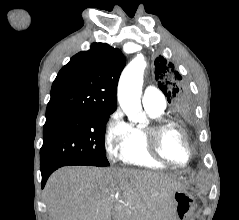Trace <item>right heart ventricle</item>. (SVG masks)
<instances>
[{
  "instance_id": "1",
  "label": "right heart ventricle",
  "mask_w": 239,
  "mask_h": 220,
  "mask_svg": "<svg viewBox=\"0 0 239 220\" xmlns=\"http://www.w3.org/2000/svg\"><path fill=\"white\" fill-rule=\"evenodd\" d=\"M151 119L162 118L164 110L145 107ZM118 159L126 165L144 168H164L168 164L155 159L148 151L143 127H131V138L122 147Z\"/></svg>"
}]
</instances>
